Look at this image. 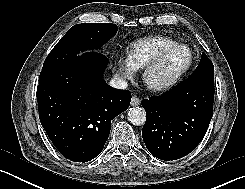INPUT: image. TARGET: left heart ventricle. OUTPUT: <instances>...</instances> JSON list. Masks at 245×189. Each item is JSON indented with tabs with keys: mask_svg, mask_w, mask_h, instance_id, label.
<instances>
[{
	"mask_svg": "<svg viewBox=\"0 0 245 189\" xmlns=\"http://www.w3.org/2000/svg\"><path fill=\"white\" fill-rule=\"evenodd\" d=\"M189 54L186 49L180 48L169 53L161 65L150 75L152 83H162L174 77L187 64Z\"/></svg>",
	"mask_w": 245,
	"mask_h": 189,
	"instance_id": "b2bd125f",
	"label": "left heart ventricle"
}]
</instances>
